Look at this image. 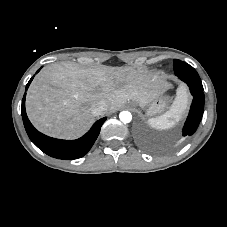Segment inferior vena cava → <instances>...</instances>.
Segmentation results:
<instances>
[{
  "label": "inferior vena cava",
  "mask_w": 227,
  "mask_h": 227,
  "mask_svg": "<svg viewBox=\"0 0 227 227\" xmlns=\"http://www.w3.org/2000/svg\"><path fill=\"white\" fill-rule=\"evenodd\" d=\"M108 104L105 101H99L95 103L91 109V112L94 116H99L106 113Z\"/></svg>",
  "instance_id": "obj_1"
}]
</instances>
